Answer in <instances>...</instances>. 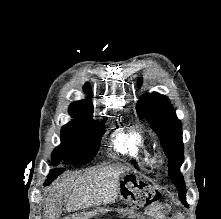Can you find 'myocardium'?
I'll return each instance as SVG.
<instances>
[{"label": "myocardium", "mask_w": 221, "mask_h": 219, "mask_svg": "<svg viewBox=\"0 0 221 219\" xmlns=\"http://www.w3.org/2000/svg\"><path fill=\"white\" fill-rule=\"evenodd\" d=\"M155 161H156V163H158V164L161 163V160H160V159H156Z\"/></svg>", "instance_id": "myocardium-1"}]
</instances>
